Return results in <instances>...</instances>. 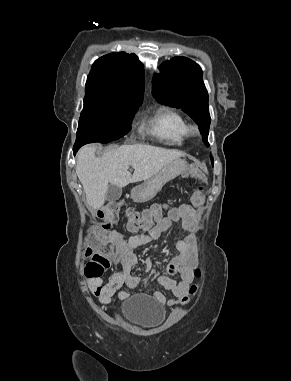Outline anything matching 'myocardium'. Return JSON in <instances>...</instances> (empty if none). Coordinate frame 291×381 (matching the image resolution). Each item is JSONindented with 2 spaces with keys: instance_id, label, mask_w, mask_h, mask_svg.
I'll return each instance as SVG.
<instances>
[{
  "instance_id": "f54148a6",
  "label": "myocardium",
  "mask_w": 291,
  "mask_h": 381,
  "mask_svg": "<svg viewBox=\"0 0 291 381\" xmlns=\"http://www.w3.org/2000/svg\"><path fill=\"white\" fill-rule=\"evenodd\" d=\"M191 131L196 133L197 132V129L194 127V128H191Z\"/></svg>"
}]
</instances>
